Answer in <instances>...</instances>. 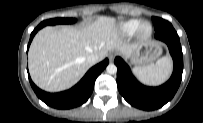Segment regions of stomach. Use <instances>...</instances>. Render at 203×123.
Returning a JSON list of instances; mask_svg holds the SVG:
<instances>
[{"instance_id":"stomach-1","label":"stomach","mask_w":203,"mask_h":123,"mask_svg":"<svg viewBox=\"0 0 203 123\" xmlns=\"http://www.w3.org/2000/svg\"><path fill=\"white\" fill-rule=\"evenodd\" d=\"M162 54V45L155 41L141 43L129 56L130 62L142 67L153 63Z\"/></svg>"}]
</instances>
